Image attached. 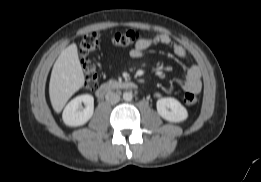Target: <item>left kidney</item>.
Listing matches in <instances>:
<instances>
[{
    "mask_svg": "<svg viewBox=\"0 0 261 182\" xmlns=\"http://www.w3.org/2000/svg\"><path fill=\"white\" fill-rule=\"evenodd\" d=\"M156 106L158 114L169 122L179 123L188 118L186 108L175 98H161Z\"/></svg>",
    "mask_w": 261,
    "mask_h": 182,
    "instance_id": "obj_1",
    "label": "left kidney"
}]
</instances>
